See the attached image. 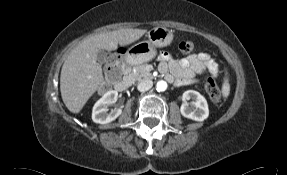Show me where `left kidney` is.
<instances>
[{
  "instance_id": "left-kidney-1",
  "label": "left kidney",
  "mask_w": 287,
  "mask_h": 175,
  "mask_svg": "<svg viewBox=\"0 0 287 175\" xmlns=\"http://www.w3.org/2000/svg\"><path fill=\"white\" fill-rule=\"evenodd\" d=\"M192 100L191 105L187 100ZM183 104L181 105V114L195 121H204L209 116L208 104L204 96L194 90H187L182 96Z\"/></svg>"
}]
</instances>
